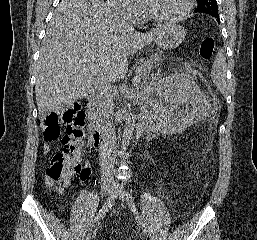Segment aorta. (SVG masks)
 <instances>
[{
    "mask_svg": "<svg viewBox=\"0 0 257 240\" xmlns=\"http://www.w3.org/2000/svg\"><path fill=\"white\" fill-rule=\"evenodd\" d=\"M135 120H136V117L133 113H129L126 117L123 136H122V145L124 150L129 145V142L132 139V135L135 127ZM124 160H125V156L123 153L121 157V161L124 162Z\"/></svg>",
    "mask_w": 257,
    "mask_h": 240,
    "instance_id": "1",
    "label": "aorta"
}]
</instances>
